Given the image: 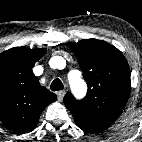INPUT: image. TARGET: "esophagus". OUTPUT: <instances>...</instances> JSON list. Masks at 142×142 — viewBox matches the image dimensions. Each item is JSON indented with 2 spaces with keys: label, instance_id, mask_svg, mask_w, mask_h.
Returning <instances> with one entry per match:
<instances>
[{
  "label": "esophagus",
  "instance_id": "34e87169",
  "mask_svg": "<svg viewBox=\"0 0 142 142\" xmlns=\"http://www.w3.org/2000/svg\"><path fill=\"white\" fill-rule=\"evenodd\" d=\"M65 93V90H61L57 93V98L60 102L63 100Z\"/></svg>",
  "mask_w": 142,
  "mask_h": 142
}]
</instances>
